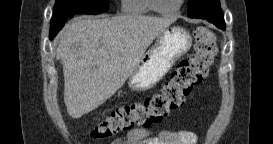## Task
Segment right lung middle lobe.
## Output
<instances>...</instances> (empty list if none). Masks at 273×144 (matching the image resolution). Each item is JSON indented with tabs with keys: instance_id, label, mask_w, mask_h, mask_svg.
Returning <instances> with one entry per match:
<instances>
[{
	"instance_id": "right-lung-middle-lobe-1",
	"label": "right lung middle lobe",
	"mask_w": 273,
	"mask_h": 144,
	"mask_svg": "<svg viewBox=\"0 0 273 144\" xmlns=\"http://www.w3.org/2000/svg\"><path fill=\"white\" fill-rule=\"evenodd\" d=\"M108 0H56L50 36H56L65 20L75 14H100L108 11Z\"/></svg>"
}]
</instances>
